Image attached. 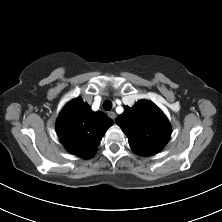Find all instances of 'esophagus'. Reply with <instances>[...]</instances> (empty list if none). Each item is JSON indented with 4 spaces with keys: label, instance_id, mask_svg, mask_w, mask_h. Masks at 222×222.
<instances>
[{
    "label": "esophagus",
    "instance_id": "1",
    "mask_svg": "<svg viewBox=\"0 0 222 222\" xmlns=\"http://www.w3.org/2000/svg\"><path fill=\"white\" fill-rule=\"evenodd\" d=\"M108 116H109V118H111L112 120H114L115 117H116V114L111 111V112H108Z\"/></svg>",
    "mask_w": 222,
    "mask_h": 222
}]
</instances>
